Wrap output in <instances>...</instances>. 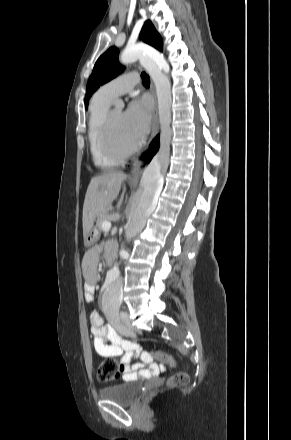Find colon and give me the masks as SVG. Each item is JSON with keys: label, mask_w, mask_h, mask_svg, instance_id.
<instances>
[{"label": "colon", "mask_w": 291, "mask_h": 440, "mask_svg": "<svg viewBox=\"0 0 291 440\" xmlns=\"http://www.w3.org/2000/svg\"><path fill=\"white\" fill-rule=\"evenodd\" d=\"M142 356L144 359L147 360H152L154 356H160L170 366H173V360L169 356L163 353H159V352L143 353ZM119 372H120V368L117 365V363L114 360H107L97 368V377L102 382H110L117 379ZM188 380H189L188 374L186 372L181 371L171 377L169 384L173 387L179 385H185L188 383Z\"/></svg>", "instance_id": "colon-1"}]
</instances>
